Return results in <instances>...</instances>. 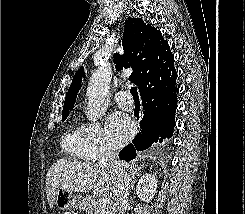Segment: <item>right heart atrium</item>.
<instances>
[{"mask_svg": "<svg viewBox=\"0 0 245 214\" xmlns=\"http://www.w3.org/2000/svg\"><path fill=\"white\" fill-rule=\"evenodd\" d=\"M83 157L95 161L111 153L100 124L86 122L79 126Z\"/></svg>", "mask_w": 245, "mask_h": 214, "instance_id": "right-heart-atrium-1", "label": "right heart atrium"}]
</instances>
